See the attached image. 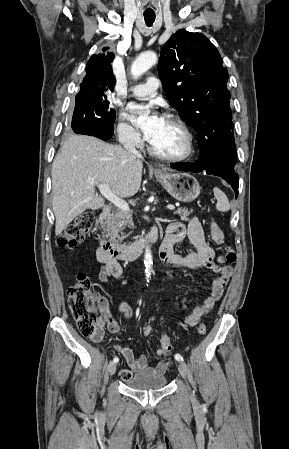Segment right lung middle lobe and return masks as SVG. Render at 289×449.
I'll use <instances>...</instances> for the list:
<instances>
[{"mask_svg":"<svg viewBox=\"0 0 289 449\" xmlns=\"http://www.w3.org/2000/svg\"><path fill=\"white\" fill-rule=\"evenodd\" d=\"M72 118L75 132L82 124L91 125L105 132H113L115 110L109 107L104 90L95 93H78Z\"/></svg>","mask_w":289,"mask_h":449,"instance_id":"dd1d6c3e","label":"right lung middle lobe"}]
</instances>
